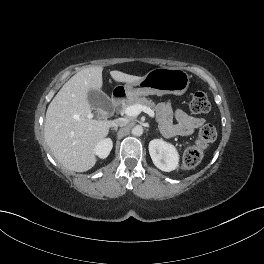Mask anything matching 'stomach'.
Segmentation results:
<instances>
[{"instance_id":"stomach-1","label":"stomach","mask_w":264,"mask_h":264,"mask_svg":"<svg viewBox=\"0 0 264 264\" xmlns=\"http://www.w3.org/2000/svg\"><path fill=\"white\" fill-rule=\"evenodd\" d=\"M189 75L180 68L160 67L149 71L141 80L124 86L127 97L156 94L183 95L190 84Z\"/></svg>"}]
</instances>
